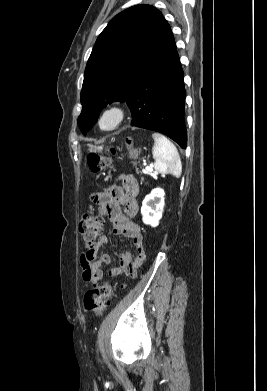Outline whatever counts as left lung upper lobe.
<instances>
[{
    "label": "left lung upper lobe",
    "mask_w": 267,
    "mask_h": 391,
    "mask_svg": "<svg viewBox=\"0 0 267 391\" xmlns=\"http://www.w3.org/2000/svg\"><path fill=\"white\" fill-rule=\"evenodd\" d=\"M173 41L162 13L150 5L128 8L109 22L84 73L78 118L84 135L107 104L128 99L150 65Z\"/></svg>",
    "instance_id": "obj_1"
}]
</instances>
